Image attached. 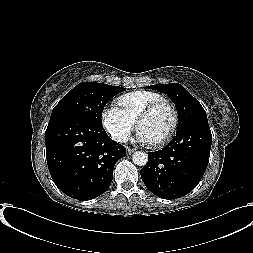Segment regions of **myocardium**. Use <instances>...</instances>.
<instances>
[{
  "label": "myocardium",
  "instance_id": "myocardium-1",
  "mask_svg": "<svg viewBox=\"0 0 253 253\" xmlns=\"http://www.w3.org/2000/svg\"><path fill=\"white\" fill-rule=\"evenodd\" d=\"M162 105H168L172 111L173 114V123L172 126L169 130V132L167 133V135L162 138L160 141L156 142V143H152L151 146L154 148H161L165 145H167L175 136L177 129H178V125H179V113L177 110L176 105L168 100V99H159L156 100L152 103H150L149 105H147L138 115L137 119H136V129L139 130V126L142 123L143 120H145L148 116H150L158 107L162 106Z\"/></svg>",
  "mask_w": 253,
  "mask_h": 253
}]
</instances>
